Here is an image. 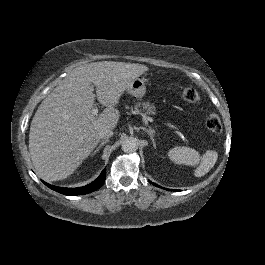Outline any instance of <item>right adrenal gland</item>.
Listing matches in <instances>:
<instances>
[{"instance_id": "obj_1", "label": "right adrenal gland", "mask_w": 265, "mask_h": 265, "mask_svg": "<svg viewBox=\"0 0 265 265\" xmlns=\"http://www.w3.org/2000/svg\"><path fill=\"white\" fill-rule=\"evenodd\" d=\"M109 141V137L105 138L104 140L100 141V144L98 147L95 148V150H91L90 157L94 156L98 151H100L101 147Z\"/></svg>"}]
</instances>
